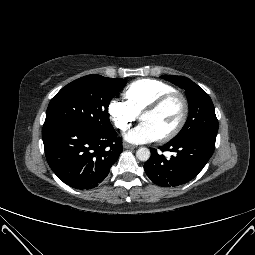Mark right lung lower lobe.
<instances>
[{
    "mask_svg": "<svg viewBox=\"0 0 255 255\" xmlns=\"http://www.w3.org/2000/svg\"><path fill=\"white\" fill-rule=\"evenodd\" d=\"M42 137L52 171L77 189L98 186L123 150L114 129L95 132L78 124H53L43 126Z\"/></svg>",
    "mask_w": 255,
    "mask_h": 255,
    "instance_id": "1",
    "label": "right lung lower lobe"
}]
</instances>
